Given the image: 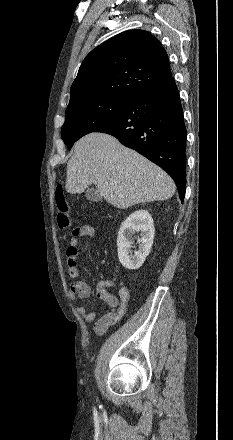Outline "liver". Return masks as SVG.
<instances>
[{"label":"liver","mask_w":233,"mask_h":440,"mask_svg":"<svg viewBox=\"0 0 233 440\" xmlns=\"http://www.w3.org/2000/svg\"><path fill=\"white\" fill-rule=\"evenodd\" d=\"M94 184L107 203L125 209L171 198L175 184L160 167L106 133L92 132L74 145L66 191L80 194Z\"/></svg>","instance_id":"1"}]
</instances>
